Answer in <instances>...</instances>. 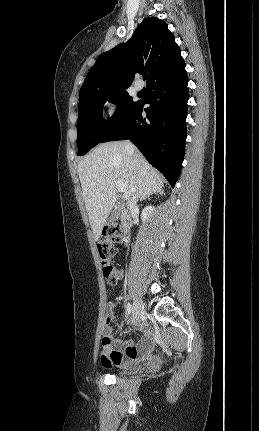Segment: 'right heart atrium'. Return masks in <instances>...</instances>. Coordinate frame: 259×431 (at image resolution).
<instances>
[{
    "label": "right heart atrium",
    "instance_id": "obj_1",
    "mask_svg": "<svg viewBox=\"0 0 259 431\" xmlns=\"http://www.w3.org/2000/svg\"><path fill=\"white\" fill-rule=\"evenodd\" d=\"M121 110L120 102L117 99L109 98L105 101V115L108 121H114Z\"/></svg>",
    "mask_w": 259,
    "mask_h": 431
}]
</instances>
